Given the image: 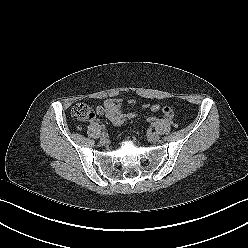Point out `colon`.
Wrapping results in <instances>:
<instances>
[{"mask_svg":"<svg viewBox=\"0 0 248 248\" xmlns=\"http://www.w3.org/2000/svg\"><path fill=\"white\" fill-rule=\"evenodd\" d=\"M71 114L74 119L80 122H89L94 118L93 110L85 103H77L73 106ZM158 118L154 115L148 116L147 121L154 123Z\"/></svg>","mask_w":248,"mask_h":248,"instance_id":"colon-1","label":"colon"}]
</instances>
